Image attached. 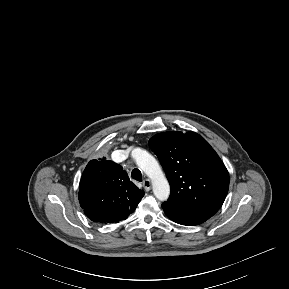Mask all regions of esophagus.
<instances>
[{
  "instance_id": "34e87169",
  "label": "esophagus",
  "mask_w": 289,
  "mask_h": 289,
  "mask_svg": "<svg viewBox=\"0 0 289 289\" xmlns=\"http://www.w3.org/2000/svg\"><path fill=\"white\" fill-rule=\"evenodd\" d=\"M143 187L146 191H149L151 189V181L149 179H145L143 181Z\"/></svg>"
}]
</instances>
